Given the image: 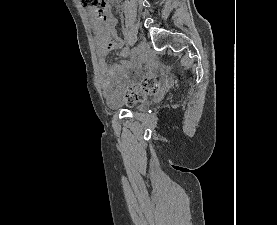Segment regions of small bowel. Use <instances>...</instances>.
<instances>
[{
	"label": "small bowel",
	"mask_w": 277,
	"mask_h": 225,
	"mask_svg": "<svg viewBox=\"0 0 277 225\" xmlns=\"http://www.w3.org/2000/svg\"><path fill=\"white\" fill-rule=\"evenodd\" d=\"M88 15L92 22L94 43L99 57V81L105 95L110 96L115 92L112 87H115L118 92L139 77L140 73L136 65L130 61L120 60L111 64L106 61V46L110 42L120 51L122 58H126L129 55V50L115 33L117 19L110 13L108 7L104 16H96L94 10H90ZM150 77L153 76L151 75ZM161 79L165 86L168 85L170 78L167 75L163 74Z\"/></svg>",
	"instance_id": "1"
}]
</instances>
